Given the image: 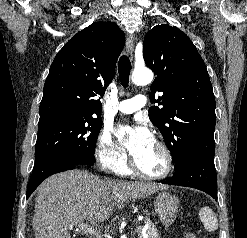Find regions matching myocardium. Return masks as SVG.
Returning a JSON list of instances; mask_svg holds the SVG:
<instances>
[{
  "instance_id": "myocardium-1",
  "label": "myocardium",
  "mask_w": 247,
  "mask_h": 238,
  "mask_svg": "<svg viewBox=\"0 0 247 238\" xmlns=\"http://www.w3.org/2000/svg\"><path fill=\"white\" fill-rule=\"evenodd\" d=\"M154 143L160 149V151L162 152V154L164 156L165 167H164L163 171L161 173H159V174H148V173L143 172L137 166V164L135 162V159L132 158L131 161H130V168H131L132 172L136 176H138V177H140L142 179H146V180H162V179H165L166 177H168L170 175V173L172 172V169H173V157H172L170 149L161 140L154 139Z\"/></svg>"
}]
</instances>
